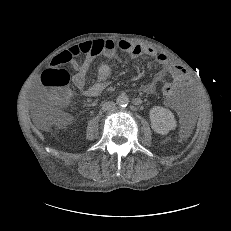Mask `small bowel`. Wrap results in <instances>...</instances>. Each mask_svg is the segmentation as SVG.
I'll use <instances>...</instances> for the list:
<instances>
[{
    "label": "small bowel",
    "mask_w": 231,
    "mask_h": 231,
    "mask_svg": "<svg viewBox=\"0 0 231 231\" xmlns=\"http://www.w3.org/2000/svg\"><path fill=\"white\" fill-rule=\"evenodd\" d=\"M118 47L130 54L132 57H151L155 62L162 66L173 78L177 89L185 88L188 86L190 80L187 71L178 63L171 61L167 55L152 47L142 46L132 43L127 40H122L118 43ZM66 57L62 64H70L74 69L72 76V82L75 87L83 91V95L86 97L98 96L109 84L111 77V67L108 63H102L98 67V78L95 83L86 87V78L90 67L95 59L99 56H105L107 58H114L116 55V44L112 40H94L81 43L76 46H72L68 50L62 52L60 56ZM80 55H84L82 62H77L76 58ZM57 60H55L56 62ZM55 65L54 60L51 63ZM160 80L158 76L155 82ZM155 82L149 83L144 87L146 93H151L155 89ZM165 104L169 107H175L177 104L176 98H169L165 96Z\"/></svg>",
    "instance_id": "obj_1"
}]
</instances>
